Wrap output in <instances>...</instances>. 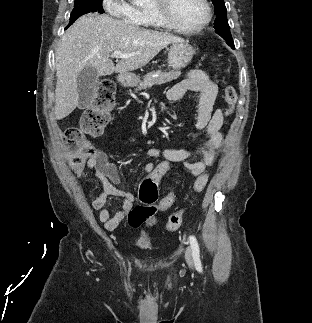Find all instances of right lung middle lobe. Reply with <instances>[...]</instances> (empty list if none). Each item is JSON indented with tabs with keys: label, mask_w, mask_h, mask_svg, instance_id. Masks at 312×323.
Wrapping results in <instances>:
<instances>
[{
	"label": "right lung middle lobe",
	"mask_w": 312,
	"mask_h": 323,
	"mask_svg": "<svg viewBox=\"0 0 312 323\" xmlns=\"http://www.w3.org/2000/svg\"><path fill=\"white\" fill-rule=\"evenodd\" d=\"M89 12L103 13L102 0H75L68 27L80 16Z\"/></svg>",
	"instance_id": "right-lung-middle-lobe-1"
}]
</instances>
